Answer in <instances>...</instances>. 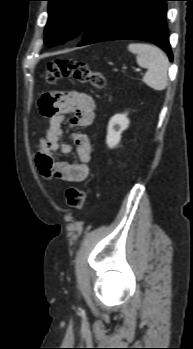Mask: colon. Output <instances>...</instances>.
Masks as SVG:
<instances>
[{
	"label": "colon",
	"instance_id": "obj_1",
	"mask_svg": "<svg viewBox=\"0 0 193 349\" xmlns=\"http://www.w3.org/2000/svg\"><path fill=\"white\" fill-rule=\"evenodd\" d=\"M61 78H73L80 83L88 84L96 89H102L106 85L105 76L98 71H92L86 63L78 62L71 58H58L48 63L46 67V80L55 83ZM60 93L57 91L44 92L39 100L40 108L45 113H52L58 101ZM68 204L77 210H82L85 204V193L77 188L70 187L66 192Z\"/></svg>",
	"mask_w": 193,
	"mask_h": 349
}]
</instances>
